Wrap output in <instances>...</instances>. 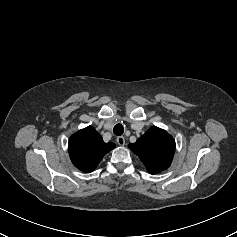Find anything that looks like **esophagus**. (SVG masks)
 Instances as JSON below:
<instances>
[{
	"label": "esophagus",
	"mask_w": 237,
	"mask_h": 237,
	"mask_svg": "<svg viewBox=\"0 0 237 237\" xmlns=\"http://www.w3.org/2000/svg\"><path fill=\"white\" fill-rule=\"evenodd\" d=\"M117 143L120 145V146H124L125 145V139L123 136H118L117 137Z\"/></svg>",
	"instance_id": "esophagus-1"
}]
</instances>
